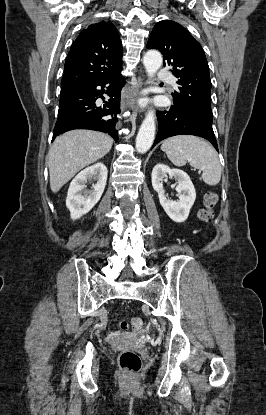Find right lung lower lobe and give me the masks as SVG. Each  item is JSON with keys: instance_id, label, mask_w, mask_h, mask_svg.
Instances as JSON below:
<instances>
[{"instance_id": "1", "label": "right lung lower lobe", "mask_w": 266, "mask_h": 415, "mask_svg": "<svg viewBox=\"0 0 266 415\" xmlns=\"http://www.w3.org/2000/svg\"><path fill=\"white\" fill-rule=\"evenodd\" d=\"M124 85L121 70L101 79L88 81L61 90L58 119L54 128L56 136L73 129H90L108 133L118 140L116 123L120 113V94ZM99 105L98 98H104Z\"/></svg>"}]
</instances>
